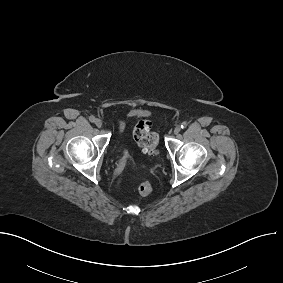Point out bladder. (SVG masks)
Masks as SVG:
<instances>
[{
  "instance_id": "obj_1",
  "label": "bladder",
  "mask_w": 283,
  "mask_h": 283,
  "mask_svg": "<svg viewBox=\"0 0 283 283\" xmlns=\"http://www.w3.org/2000/svg\"><path fill=\"white\" fill-rule=\"evenodd\" d=\"M118 153H119V155L122 156V157H127V156H129L128 151H127L123 146H120V147L118 148Z\"/></svg>"
}]
</instances>
